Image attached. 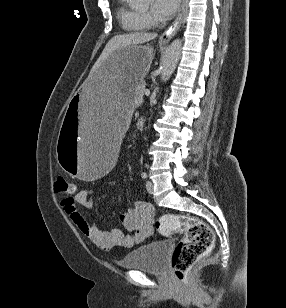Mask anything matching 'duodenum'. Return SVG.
<instances>
[{"instance_id":"1","label":"duodenum","mask_w":286,"mask_h":308,"mask_svg":"<svg viewBox=\"0 0 286 308\" xmlns=\"http://www.w3.org/2000/svg\"><path fill=\"white\" fill-rule=\"evenodd\" d=\"M144 119L143 118H140L137 123H136V126L138 129H142L143 128V125H144Z\"/></svg>"}]
</instances>
